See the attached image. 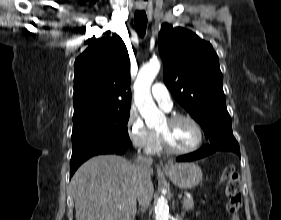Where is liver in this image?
<instances>
[{
    "instance_id": "liver-1",
    "label": "liver",
    "mask_w": 281,
    "mask_h": 220,
    "mask_svg": "<svg viewBox=\"0 0 281 220\" xmlns=\"http://www.w3.org/2000/svg\"><path fill=\"white\" fill-rule=\"evenodd\" d=\"M152 175L151 167L142 169L118 155L92 157L71 179L76 220H134L137 187L141 181L152 184Z\"/></svg>"
}]
</instances>
